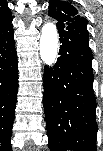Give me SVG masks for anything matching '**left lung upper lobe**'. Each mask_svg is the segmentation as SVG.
<instances>
[{
	"label": "left lung upper lobe",
	"mask_w": 103,
	"mask_h": 151,
	"mask_svg": "<svg viewBox=\"0 0 103 151\" xmlns=\"http://www.w3.org/2000/svg\"><path fill=\"white\" fill-rule=\"evenodd\" d=\"M49 15L57 21V28L64 29L72 24L86 26L87 20L78 14L77 9L68 2L51 0Z\"/></svg>",
	"instance_id": "obj_1"
}]
</instances>
